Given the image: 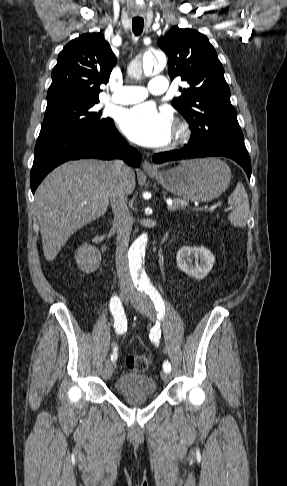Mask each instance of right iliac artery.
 Instances as JSON below:
<instances>
[{
  "mask_svg": "<svg viewBox=\"0 0 287 486\" xmlns=\"http://www.w3.org/2000/svg\"><path fill=\"white\" fill-rule=\"evenodd\" d=\"M142 291V289H141ZM110 310L114 316V327L117 334H123L127 331V319L121 304L120 299L117 296L111 298ZM117 358V348H114V353L111 356V360L115 361Z\"/></svg>",
  "mask_w": 287,
  "mask_h": 486,
  "instance_id": "1",
  "label": "right iliac artery"
}]
</instances>
